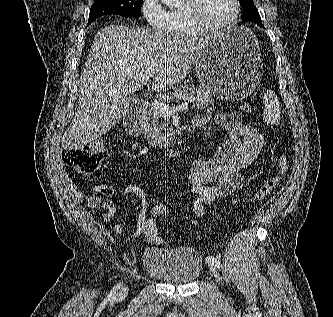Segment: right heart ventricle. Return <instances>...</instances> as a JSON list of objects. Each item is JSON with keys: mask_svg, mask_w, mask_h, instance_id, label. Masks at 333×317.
<instances>
[{"mask_svg": "<svg viewBox=\"0 0 333 317\" xmlns=\"http://www.w3.org/2000/svg\"><path fill=\"white\" fill-rule=\"evenodd\" d=\"M169 12V29L168 33L180 39L193 38L200 35V32L197 31L189 23L182 6L174 8Z\"/></svg>", "mask_w": 333, "mask_h": 317, "instance_id": "right-heart-ventricle-1", "label": "right heart ventricle"}]
</instances>
